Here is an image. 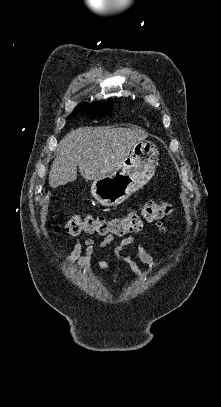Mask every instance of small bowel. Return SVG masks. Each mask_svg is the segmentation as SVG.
I'll list each match as a JSON object with an SVG mask.
<instances>
[{
  "label": "small bowel",
  "instance_id": "1",
  "mask_svg": "<svg viewBox=\"0 0 221 407\" xmlns=\"http://www.w3.org/2000/svg\"><path fill=\"white\" fill-rule=\"evenodd\" d=\"M155 226H156V230H157L158 234L161 237L166 238L168 236V229L162 221L156 222ZM114 241H115V238H114V236H111V235L104 238L99 245H97L95 243V241L91 238H87L82 241L78 240L75 242L72 250L70 251V254L66 259V262L71 263V262L77 260L78 264H79L80 272L85 277L94 279V274L92 272L91 262H90L91 257L94 255V253L96 251L98 253L103 252ZM134 242H135V236L130 235V236L126 237L125 239H123L121 242H119L115 246L113 252H114L115 256L125 260L131 266L132 270L134 271V273L136 275H139V269H138L136 263L134 262V260L131 257L122 254V251L124 250V248H126L128 245H130ZM137 252H138V257H139L140 261L149 270H151V271L156 270V263H155L154 257L151 254V252L144 245H139L137 248ZM98 261H99L100 266L107 273H109L113 277L117 276V273L115 271L111 270L110 267L108 266V264L102 258L99 257Z\"/></svg>",
  "mask_w": 221,
  "mask_h": 407
}]
</instances>
